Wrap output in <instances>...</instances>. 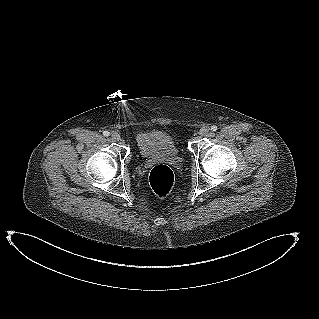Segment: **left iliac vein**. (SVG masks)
Returning a JSON list of instances; mask_svg holds the SVG:
<instances>
[{"instance_id": "left-iliac-vein-1", "label": "left iliac vein", "mask_w": 319, "mask_h": 319, "mask_svg": "<svg viewBox=\"0 0 319 319\" xmlns=\"http://www.w3.org/2000/svg\"><path fill=\"white\" fill-rule=\"evenodd\" d=\"M209 131H210V128L208 126H203L200 129L199 133H200V135L205 136L209 133Z\"/></svg>"}]
</instances>
